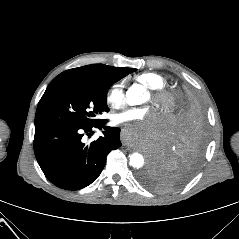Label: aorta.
Returning a JSON list of instances; mask_svg holds the SVG:
<instances>
[{
  "instance_id": "obj_1",
  "label": "aorta",
  "mask_w": 239,
  "mask_h": 239,
  "mask_svg": "<svg viewBox=\"0 0 239 239\" xmlns=\"http://www.w3.org/2000/svg\"><path fill=\"white\" fill-rule=\"evenodd\" d=\"M144 88L140 85L130 87L126 92L127 101L130 105H136L143 101ZM129 164L135 168H142L145 164V159L142 154L134 152L129 156Z\"/></svg>"
}]
</instances>
